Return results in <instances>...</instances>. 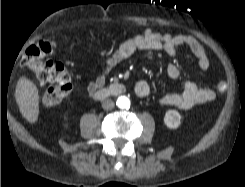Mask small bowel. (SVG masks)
Masks as SVG:
<instances>
[{
    "mask_svg": "<svg viewBox=\"0 0 245 187\" xmlns=\"http://www.w3.org/2000/svg\"><path fill=\"white\" fill-rule=\"evenodd\" d=\"M181 46L189 48L198 59V65L204 73L210 70V60L207 53L201 43L193 36L159 33L148 29L142 34L126 39L119 45L117 50L104 61L101 73L90 81L87 91L91 95L102 88L110 72L139 50L160 51L169 56H175ZM166 71L169 77L183 83V90L179 93L162 96L159 99L161 106H173L180 110H188L214 99L215 95L212 89L199 87L195 81L184 77L176 65L169 64ZM135 91L140 97L147 96L150 92V83L145 79L139 80L135 85Z\"/></svg>",
    "mask_w": 245,
    "mask_h": 187,
    "instance_id": "c3829d8e",
    "label": "small bowel"
}]
</instances>
